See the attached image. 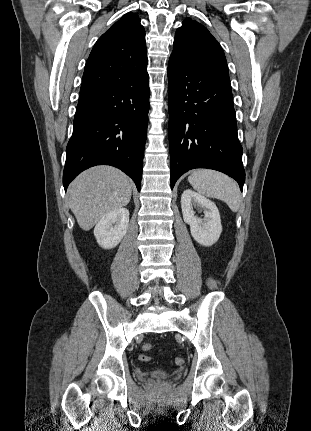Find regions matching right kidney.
<instances>
[{
	"instance_id": "ca27d5eb",
	"label": "right kidney",
	"mask_w": 311,
	"mask_h": 431,
	"mask_svg": "<svg viewBox=\"0 0 311 431\" xmlns=\"http://www.w3.org/2000/svg\"><path fill=\"white\" fill-rule=\"evenodd\" d=\"M129 225V210L117 208L100 217L94 227V235L101 247H116L123 239Z\"/></svg>"
}]
</instances>
